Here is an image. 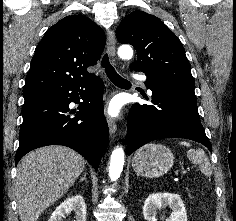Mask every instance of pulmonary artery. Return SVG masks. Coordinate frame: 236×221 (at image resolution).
Returning a JSON list of instances; mask_svg holds the SVG:
<instances>
[{
  "instance_id": "1",
  "label": "pulmonary artery",
  "mask_w": 236,
  "mask_h": 221,
  "mask_svg": "<svg viewBox=\"0 0 236 221\" xmlns=\"http://www.w3.org/2000/svg\"><path fill=\"white\" fill-rule=\"evenodd\" d=\"M141 82L145 83L146 82V78L144 76H141L138 78ZM149 92H151L150 90H148Z\"/></svg>"
}]
</instances>
